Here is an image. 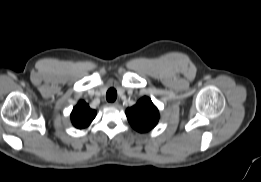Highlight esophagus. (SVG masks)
Segmentation results:
<instances>
[{"instance_id":"obj_1","label":"esophagus","mask_w":261,"mask_h":182,"mask_svg":"<svg viewBox=\"0 0 261 182\" xmlns=\"http://www.w3.org/2000/svg\"><path fill=\"white\" fill-rule=\"evenodd\" d=\"M109 106H113V107H117L118 106V102H111L109 103Z\"/></svg>"}]
</instances>
